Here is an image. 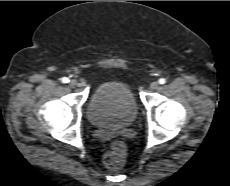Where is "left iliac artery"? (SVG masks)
I'll use <instances>...</instances> for the list:
<instances>
[{
	"mask_svg": "<svg viewBox=\"0 0 230 186\" xmlns=\"http://www.w3.org/2000/svg\"><path fill=\"white\" fill-rule=\"evenodd\" d=\"M159 83H160V84H165V83H166V79L160 78V79H159Z\"/></svg>",
	"mask_w": 230,
	"mask_h": 186,
	"instance_id": "44dca946",
	"label": "left iliac artery"
}]
</instances>
